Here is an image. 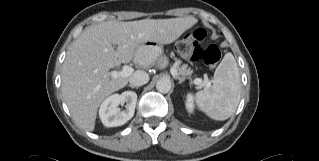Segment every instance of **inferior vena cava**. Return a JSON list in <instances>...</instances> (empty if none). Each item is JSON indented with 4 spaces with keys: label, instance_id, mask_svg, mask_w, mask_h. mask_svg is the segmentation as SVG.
Wrapping results in <instances>:
<instances>
[{
    "label": "inferior vena cava",
    "instance_id": "inferior-vena-cava-1",
    "mask_svg": "<svg viewBox=\"0 0 319 161\" xmlns=\"http://www.w3.org/2000/svg\"><path fill=\"white\" fill-rule=\"evenodd\" d=\"M149 81V75L144 71H136L134 72L130 78L129 83L134 87L142 86Z\"/></svg>",
    "mask_w": 319,
    "mask_h": 161
}]
</instances>
